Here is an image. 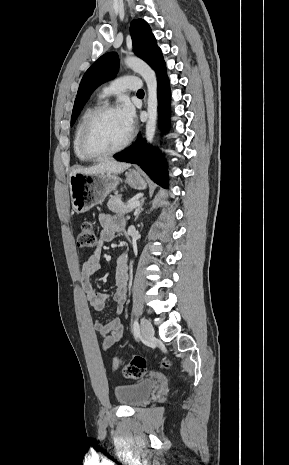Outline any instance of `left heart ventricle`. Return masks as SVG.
I'll return each mask as SVG.
<instances>
[{
  "instance_id": "1",
  "label": "left heart ventricle",
  "mask_w": 289,
  "mask_h": 465,
  "mask_svg": "<svg viewBox=\"0 0 289 465\" xmlns=\"http://www.w3.org/2000/svg\"><path fill=\"white\" fill-rule=\"evenodd\" d=\"M118 111L103 114L96 122L92 135V146L97 151L118 147L128 137Z\"/></svg>"
}]
</instances>
